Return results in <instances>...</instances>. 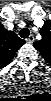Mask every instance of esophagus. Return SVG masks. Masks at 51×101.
<instances>
[{"mask_svg":"<svg viewBox=\"0 0 51 101\" xmlns=\"http://www.w3.org/2000/svg\"><path fill=\"white\" fill-rule=\"evenodd\" d=\"M26 41H27L28 43H33V42H34V36H33V35H30V36L26 39Z\"/></svg>","mask_w":51,"mask_h":101,"instance_id":"esophagus-1","label":"esophagus"}]
</instances>
